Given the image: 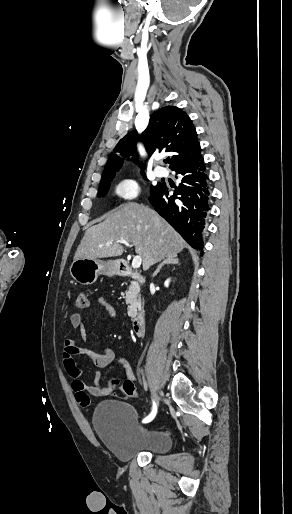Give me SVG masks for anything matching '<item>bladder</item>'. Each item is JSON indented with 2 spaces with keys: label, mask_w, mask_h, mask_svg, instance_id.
<instances>
[{
  "label": "bladder",
  "mask_w": 292,
  "mask_h": 514,
  "mask_svg": "<svg viewBox=\"0 0 292 514\" xmlns=\"http://www.w3.org/2000/svg\"><path fill=\"white\" fill-rule=\"evenodd\" d=\"M92 424L100 441L121 461H129L145 452L162 454L171 447L167 431L140 424L136 408L123 401L99 404Z\"/></svg>",
  "instance_id": "31cf9c89"
}]
</instances>
